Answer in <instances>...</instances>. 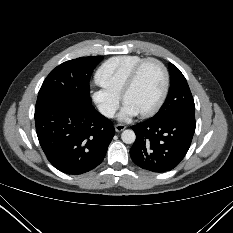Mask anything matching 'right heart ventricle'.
<instances>
[{
	"instance_id": "right-heart-ventricle-1",
	"label": "right heart ventricle",
	"mask_w": 233,
	"mask_h": 233,
	"mask_svg": "<svg viewBox=\"0 0 233 233\" xmlns=\"http://www.w3.org/2000/svg\"><path fill=\"white\" fill-rule=\"evenodd\" d=\"M143 59L138 55L109 58L98 68L96 80L100 85L120 95L130 72Z\"/></svg>"
}]
</instances>
